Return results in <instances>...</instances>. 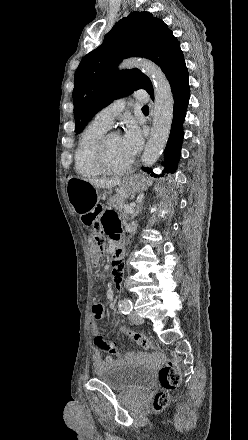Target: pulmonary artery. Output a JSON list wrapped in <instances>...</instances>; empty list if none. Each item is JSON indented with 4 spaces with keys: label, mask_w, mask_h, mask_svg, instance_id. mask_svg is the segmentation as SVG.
<instances>
[{
    "label": "pulmonary artery",
    "mask_w": 248,
    "mask_h": 440,
    "mask_svg": "<svg viewBox=\"0 0 248 440\" xmlns=\"http://www.w3.org/2000/svg\"><path fill=\"white\" fill-rule=\"evenodd\" d=\"M134 98L139 101H144L147 98V94L143 90H137L133 94ZM125 108V99H117L110 103L108 106L100 110L94 121L103 125L106 128H110L114 122L115 117L120 114Z\"/></svg>",
    "instance_id": "obj_1"
}]
</instances>
